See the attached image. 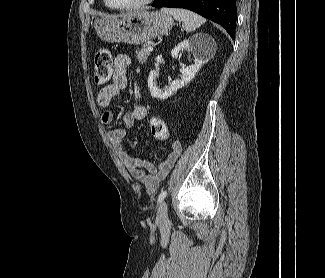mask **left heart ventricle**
<instances>
[{
	"label": "left heart ventricle",
	"instance_id": "b2bd125f",
	"mask_svg": "<svg viewBox=\"0 0 325 278\" xmlns=\"http://www.w3.org/2000/svg\"><path fill=\"white\" fill-rule=\"evenodd\" d=\"M113 5L116 6H124V5H129V4H134L137 3L141 0H109Z\"/></svg>",
	"mask_w": 325,
	"mask_h": 278
}]
</instances>
